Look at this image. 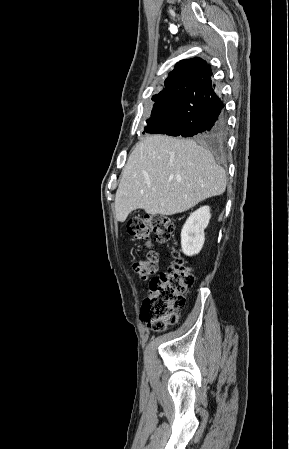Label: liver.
Returning <instances> with one entry per match:
<instances>
[{
    "mask_svg": "<svg viewBox=\"0 0 289 449\" xmlns=\"http://www.w3.org/2000/svg\"><path fill=\"white\" fill-rule=\"evenodd\" d=\"M225 170L191 139L152 135L141 140L122 172L115 213L124 222L136 209L174 215L224 193Z\"/></svg>",
    "mask_w": 289,
    "mask_h": 449,
    "instance_id": "liver-1",
    "label": "liver"
}]
</instances>
